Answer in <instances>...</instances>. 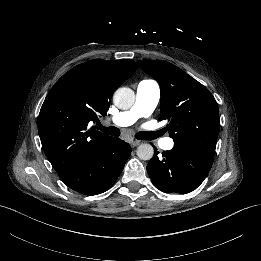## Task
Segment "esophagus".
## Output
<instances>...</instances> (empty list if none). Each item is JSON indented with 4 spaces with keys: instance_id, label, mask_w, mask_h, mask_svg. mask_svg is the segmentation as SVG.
<instances>
[{
    "instance_id": "34e87169",
    "label": "esophagus",
    "mask_w": 261,
    "mask_h": 261,
    "mask_svg": "<svg viewBox=\"0 0 261 261\" xmlns=\"http://www.w3.org/2000/svg\"><path fill=\"white\" fill-rule=\"evenodd\" d=\"M140 144V141H138V140H132L131 142H130V145L132 146V147H136V146H138Z\"/></svg>"
}]
</instances>
